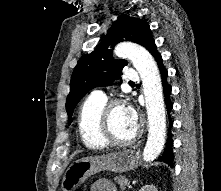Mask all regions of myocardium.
Wrapping results in <instances>:
<instances>
[{
    "mask_svg": "<svg viewBox=\"0 0 221 191\" xmlns=\"http://www.w3.org/2000/svg\"><path fill=\"white\" fill-rule=\"evenodd\" d=\"M124 103L121 100L115 99L106 102L101 113V138L109 146H127L136 141L140 135V128H136L133 135L127 139H119L115 136L112 126L111 117L115 109L122 107Z\"/></svg>",
    "mask_w": 221,
    "mask_h": 191,
    "instance_id": "f54148a6",
    "label": "myocardium"
}]
</instances>
